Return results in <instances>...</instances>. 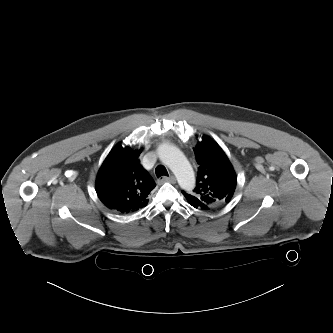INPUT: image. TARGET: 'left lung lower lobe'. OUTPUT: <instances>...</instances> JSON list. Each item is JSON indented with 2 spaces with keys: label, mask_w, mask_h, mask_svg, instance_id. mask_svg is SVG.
I'll use <instances>...</instances> for the list:
<instances>
[{
  "label": "left lung lower lobe",
  "mask_w": 333,
  "mask_h": 333,
  "mask_svg": "<svg viewBox=\"0 0 333 333\" xmlns=\"http://www.w3.org/2000/svg\"><path fill=\"white\" fill-rule=\"evenodd\" d=\"M189 202V204L190 205H192L194 208H202V209H207L204 205H200V206H197L196 204H194V203H192V202H190V201H188Z\"/></svg>",
  "instance_id": "0a47b994"
}]
</instances>
